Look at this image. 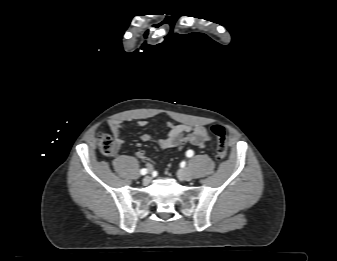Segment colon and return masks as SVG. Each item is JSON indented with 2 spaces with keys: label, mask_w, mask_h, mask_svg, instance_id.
<instances>
[{
  "label": "colon",
  "mask_w": 337,
  "mask_h": 261,
  "mask_svg": "<svg viewBox=\"0 0 337 261\" xmlns=\"http://www.w3.org/2000/svg\"><path fill=\"white\" fill-rule=\"evenodd\" d=\"M212 134L216 137V159L223 160L227 156V139L225 129L218 124L210 127ZM98 147L100 152L105 156H110L116 151V143L112 137L104 132L98 134Z\"/></svg>",
  "instance_id": "colon-1"
}]
</instances>
